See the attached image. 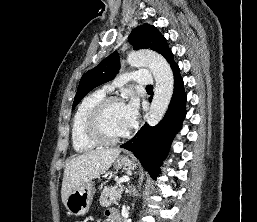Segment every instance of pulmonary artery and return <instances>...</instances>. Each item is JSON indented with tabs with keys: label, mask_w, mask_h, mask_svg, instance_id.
Wrapping results in <instances>:
<instances>
[{
	"label": "pulmonary artery",
	"mask_w": 257,
	"mask_h": 222,
	"mask_svg": "<svg viewBox=\"0 0 257 222\" xmlns=\"http://www.w3.org/2000/svg\"><path fill=\"white\" fill-rule=\"evenodd\" d=\"M130 79L140 85H150L153 81L152 75L149 71H136L130 77L122 76V77L118 78L117 83L122 84V83L127 82ZM112 89H113L112 86H107L104 90L110 91Z\"/></svg>",
	"instance_id": "1"
}]
</instances>
